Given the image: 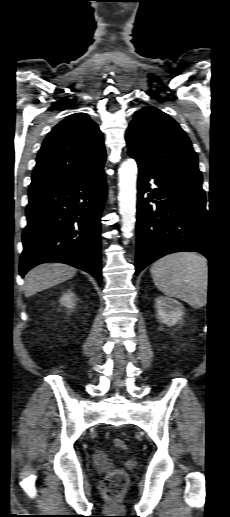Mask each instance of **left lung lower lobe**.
I'll return each instance as SVG.
<instances>
[{"instance_id": "1", "label": "left lung lower lobe", "mask_w": 230, "mask_h": 517, "mask_svg": "<svg viewBox=\"0 0 230 517\" xmlns=\"http://www.w3.org/2000/svg\"><path fill=\"white\" fill-rule=\"evenodd\" d=\"M135 274L174 252L195 251L210 260L202 182L181 180L138 165ZM153 179L155 188L150 191ZM148 197L144 198V194ZM156 203L152 206L149 202Z\"/></svg>"}]
</instances>
